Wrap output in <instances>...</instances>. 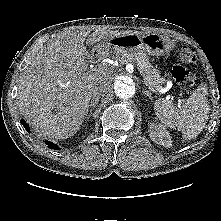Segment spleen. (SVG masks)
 I'll return each mask as SVG.
<instances>
[{
	"instance_id": "spleen-1",
	"label": "spleen",
	"mask_w": 221,
	"mask_h": 221,
	"mask_svg": "<svg viewBox=\"0 0 221 221\" xmlns=\"http://www.w3.org/2000/svg\"><path fill=\"white\" fill-rule=\"evenodd\" d=\"M207 87L201 84L181 107H175L166 100H156V116L167 127L177 129L185 139H193L200 134L209 117Z\"/></svg>"
}]
</instances>
